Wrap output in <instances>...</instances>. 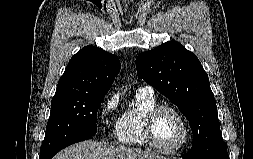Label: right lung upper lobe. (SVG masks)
<instances>
[{"mask_svg": "<svg viewBox=\"0 0 253 159\" xmlns=\"http://www.w3.org/2000/svg\"><path fill=\"white\" fill-rule=\"evenodd\" d=\"M119 71L117 56L94 46H86L69 61L53 98L78 94L105 95Z\"/></svg>", "mask_w": 253, "mask_h": 159, "instance_id": "obj_1", "label": "right lung upper lobe"}]
</instances>
